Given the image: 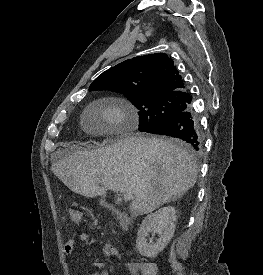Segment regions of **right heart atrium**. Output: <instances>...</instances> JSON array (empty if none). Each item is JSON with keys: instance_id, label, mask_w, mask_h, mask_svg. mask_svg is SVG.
Segmentation results:
<instances>
[{"instance_id": "obj_1", "label": "right heart atrium", "mask_w": 263, "mask_h": 275, "mask_svg": "<svg viewBox=\"0 0 263 275\" xmlns=\"http://www.w3.org/2000/svg\"><path fill=\"white\" fill-rule=\"evenodd\" d=\"M124 120V115L116 108L109 109L105 113V121L111 126H122Z\"/></svg>"}]
</instances>
